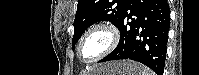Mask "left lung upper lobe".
Instances as JSON below:
<instances>
[{
	"instance_id": "1",
	"label": "left lung upper lobe",
	"mask_w": 199,
	"mask_h": 75,
	"mask_svg": "<svg viewBox=\"0 0 199 75\" xmlns=\"http://www.w3.org/2000/svg\"><path fill=\"white\" fill-rule=\"evenodd\" d=\"M130 0H78L74 20L72 48L83 32L98 21H110L118 27Z\"/></svg>"
}]
</instances>
